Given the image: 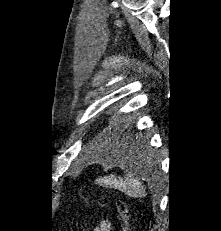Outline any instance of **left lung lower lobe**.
I'll return each instance as SVG.
<instances>
[{
  "label": "left lung lower lobe",
  "mask_w": 221,
  "mask_h": 231,
  "mask_svg": "<svg viewBox=\"0 0 221 231\" xmlns=\"http://www.w3.org/2000/svg\"><path fill=\"white\" fill-rule=\"evenodd\" d=\"M127 134H121V135H119V136H117V140H121V141H123V142H126L127 141ZM123 150V152H125V153H130L131 151L128 149V148H124V149H122ZM131 150H133V149H131Z\"/></svg>",
  "instance_id": "0a47b994"
}]
</instances>
